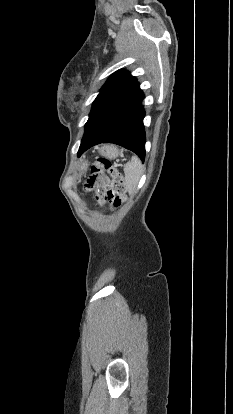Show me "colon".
Masks as SVG:
<instances>
[{"instance_id": "5ec220e1", "label": "colon", "mask_w": 233, "mask_h": 414, "mask_svg": "<svg viewBox=\"0 0 233 414\" xmlns=\"http://www.w3.org/2000/svg\"><path fill=\"white\" fill-rule=\"evenodd\" d=\"M105 174L111 176L110 189L105 188ZM86 186L97 190V200L101 204L112 202L117 206L124 200L126 187L123 176L107 159L99 158L93 163Z\"/></svg>"}]
</instances>
